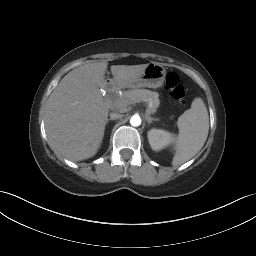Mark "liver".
Returning <instances> with one entry per match:
<instances>
[{"mask_svg": "<svg viewBox=\"0 0 256 256\" xmlns=\"http://www.w3.org/2000/svg\"><path fill=\"white\" fill-rule=\"evenodd\" d=\"M147 65H112V82L124 86ZM107 67V61L79 66L65 75L50 95L45 128L50 146L59 156L82 161L99 150L109 112L99 89L107 85Z\"/></svg>", "mask_w": 256, "mask_h": 256, "instance_id": "6515ba94", "label": "liver"}]
</instances>
